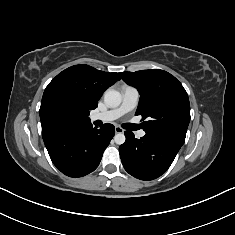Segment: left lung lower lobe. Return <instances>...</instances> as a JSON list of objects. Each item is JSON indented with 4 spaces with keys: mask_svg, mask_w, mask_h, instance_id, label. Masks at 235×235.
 <instances>
[{
    "mask_svg": "<svg viewBox=\"0 0 235 235\" xmlns=\"http://www.w3.org/2000/svg\"><path fill=\"white\" fill-rule=\"evenodd\" d=\"M124 134L126 141L119 148L122 164L130 175L141 180H153L165 173L182 146L157 135L146 134L138 140L132 132Z\"/></svg>",
    "mask_w": 235,
    "mask_h": 235,
    "instance_id": "obj_1",
    "label": "left lung lower lobe"
}]
</instances>
